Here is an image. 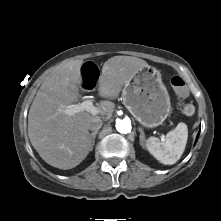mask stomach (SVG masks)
<instances>
[{
	"instance_id": "stomach-1",
	"label": "stomach",
	"mask_w": 221,
	"mask_h": 221,
	"mask_svg": "<svg viewBox=\"0 0 221 221\" xmlns=\"http://www.w3.org/2000/svg\"><path fill=\"white\" fill-rule=\"evenodd\" d=\"M124 106L147 128L161 125L171 110L170 97L161 74L154 67L141 68L122 92Z\"/></svg>"
}]
</instances>
